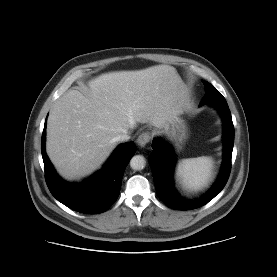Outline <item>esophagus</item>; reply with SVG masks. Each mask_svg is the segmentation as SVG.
<instances>
[{
  "label": "esophagus",
  "mask_w": 277,
  "mask_h": 277,
  "mask_svg": "<svg viewBox=\"0 0 277 277\" xmlns=\"http://www.w3.org/2000/svg\"><path fill=\"white\" fill-rule=\"evenodd\" d=\"M151 136L148 132L141 133L137 138V144L140 147H145L150 142Z\"/></svg>",
  "instance_id": "esophagus-1"
}]
</instances>
